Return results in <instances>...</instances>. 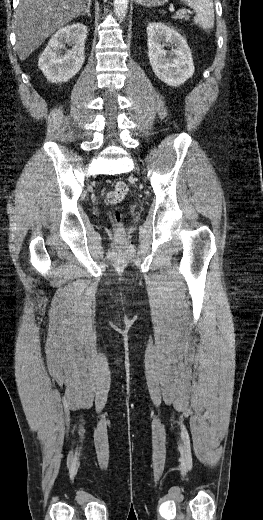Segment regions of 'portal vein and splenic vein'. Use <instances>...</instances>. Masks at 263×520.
<instances>
[{
    "label": "portal vein and splenic vein",
    "instance_id": "portal-vein-and-splenic-vein-1",
    "mask_svg": "<svg viewBox=\"0 0 263 520\" xmlns=\"http://www.w3.org/2000/svg\"><path fill=\"white\" fill-rule=\"evenodd\" d=\"M169 10H170L171 12H173V11L175 10V9H174V6L171 5L170 8H169ZM182 11H183V10H182Z\"/></svg>",
    "mask_w": 263,
    "mask_h": 520
}]
</instances>
